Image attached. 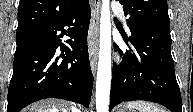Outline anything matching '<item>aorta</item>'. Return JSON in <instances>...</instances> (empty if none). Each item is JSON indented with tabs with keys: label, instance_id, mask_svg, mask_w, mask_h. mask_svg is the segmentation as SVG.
Listing matches in <instances>:
<instances>
[{
	"label": "aorta",
	"instance_id": "obj_1",
	"mask_svg": "<svg viewBox=\"0 0 193 112\" xmlns=\"http://www.w3.org/2000/svg\"><path fill=\"white\" fill-rule=\"evenodd\" d=\"M111 87V14L110 0H102L100 50L96 81V111L108 112Z\"/></svg>",
	"mask_w": 193,
	"mask_h": 112
}]
</instances>
